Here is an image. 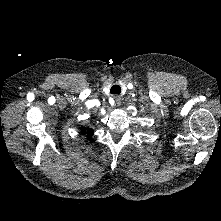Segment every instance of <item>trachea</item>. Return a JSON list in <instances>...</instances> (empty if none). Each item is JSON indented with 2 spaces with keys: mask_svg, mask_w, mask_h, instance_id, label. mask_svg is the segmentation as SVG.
<instances>
[{
  "mask_svg": "<svg viewBox=\"0 0 221 221\" xmlns=\"http://www.w3.org/2000/svg\"><path fill=\"white\" fill-rule=\"evenodd\" d=\"M110 93L119 95L121 93V87L117 84L113 85L110 89Z\"/></svg>",
  "mask_w": 221,
  "mask_h": 221,
  "instance_id": "3493384b",
  "label": "trachea"
}]
</instances>
